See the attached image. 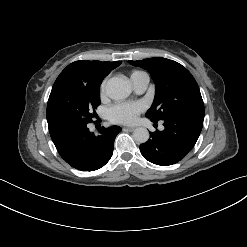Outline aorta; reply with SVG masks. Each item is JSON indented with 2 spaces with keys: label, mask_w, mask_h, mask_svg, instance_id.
<instances>
[{
  "label": "aorta",
  "mask_w": 247,
  "mask_h": 247,
  "mask_svg": "<svg viewBox=\"0 0 247 247\" xmlns=\"http://www.w3.org/2000/svg\"><path fill=\"white\" fill-rule=\"evenodd\" d=\"M106 94L112 100H122L131 94V86L124 79L113 77L107 82ZM133 139L138 143H145L149 139V131L138 127L133 132Z\"/></svg>",
  "instance_id": "obj_1"
}]
</instances>
